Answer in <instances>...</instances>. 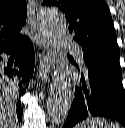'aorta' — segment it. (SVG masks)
Listing matches in <instances>:
<instances>
[{
  "instance_id": "1",
  "label": "aorta",
  "mask_w": 125,
  "mask_h": 128,
  "mask_svg": "<svg viewBox=\"0 0 125 128\" xmlns=\"http://www.w3.org/2000/svg\"><path fill=\"white\" fill-rule=\"evenodd\" d=\"M38 24L43 37L59 52L58 68L47 99V117L52 125H59L66 119L73 101L68 60L62 44L67 31V22L58 8L47 7L40 11Z\"/></svg>"
}]
</instances>
